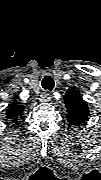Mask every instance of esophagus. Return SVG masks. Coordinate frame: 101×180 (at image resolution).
Returning <instances> with one entry per match:
<instances>
[{
	"label": "esophagus",
	"mask_w": 101,
	"mask_h": 180,
	"mask_svg": "<svg viewBox=\"0 0 101 180\" xmlns=\"http://www.w3.org/2000/svg\"><path fill=\"white\" fill-rule=\"evenodd\" d=\"M51 99V95L49 91H45L40 96V101L42 102H49Z\"/></svg>",
	"instance_id": "esophagus-1"
}]
</instances>
